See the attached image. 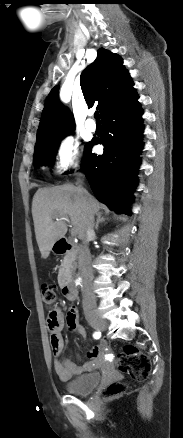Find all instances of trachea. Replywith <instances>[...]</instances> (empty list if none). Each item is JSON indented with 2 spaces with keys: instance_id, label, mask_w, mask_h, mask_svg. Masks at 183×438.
Returning a JSON list of instances; mask_svg holds the SVG:
<instances>
[{
  "instance_id": "3493384b",
  "label": "trachea",
  "mask_w": 183,
  "mask_h": 438,
  "mask_svg": "<svg viewBox=\"0 0 183 438\" xmlns=\"http://www.w3.org/2000/svg\"><path fill=\"white\" fill-rule=\"evenodd\" d=\"M94 118H95L96 120L99 119V112H98V111H96V112L94 113Z\"/></svg>"
}]
</instances>
